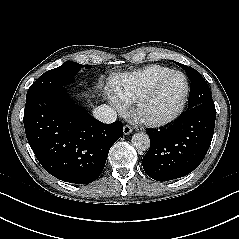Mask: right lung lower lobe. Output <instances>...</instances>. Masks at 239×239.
Listing matches in <instances>:
<instances>
[{
  "label": "right lung lower lobe",
  "mask_w": 239,
  "mask_h": 239,
  "mask_svg": "<svg viewBox=\"0 0 239 239\" xmlns=\"http://www.w3.org/2000/svg\"><path fill=\"white\" fill-rule=\"evenodd\" d=\"M24 127L40 164L69 183H91L104 169L123 124H103L75 105L64 86L26 96Z\"/></svg>",
  "instance_id": "1"
}]
</instances>
